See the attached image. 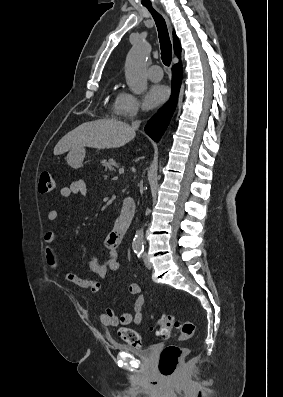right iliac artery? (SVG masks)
<instances>
[{
  "mask_svg": "<svg viewBox=\"0 0 283 397\" xmlns=\"http://www.w3.org/2000/svg\"><path fill=\"white\" fill-rule=\"evenodd\" d=\"M142 252H143L142 250L135 251V253L137 254L138 257H140L142 255Z\"/></svg>",
  "mask_w": 283,
  "mask_h": 397,
  "instance_id": "right-iliac-artery-1",
  "label": "right iliac artery"
}]
</instances>
